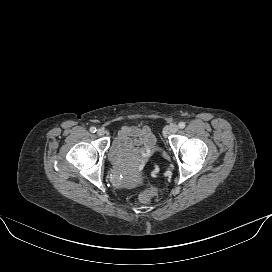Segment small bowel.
<instances>
[{
	"label": "small bowel",
	"mask_w": 272,
	"mask_h": 272,
	"mask_svg": "<svg viewBox=\"0 0 272 272\" xmlns=\"http://www.w3.org/2000/svg\"><path fill=\"white\" fill-rule=\"evenodd\" d=\"M155 145V136L148 126H123L113 139L111 150L148 157Z\"/></svg>",
	"instance_id": "small-bowel-1"
}]
</instances>
